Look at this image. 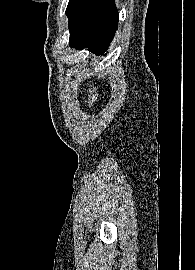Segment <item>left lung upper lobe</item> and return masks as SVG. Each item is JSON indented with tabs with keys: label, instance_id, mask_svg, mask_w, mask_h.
I'll use <instances>...</instances> for the list:
<instances>
[{
	"label": "left lung upper lobe",
	"instance_id": "obj_1",
	"mask_svg": "<svg viewBox=\"0 0 195 270\" xmlns=\"http://www.w3.org/2000/svg\"><path fill=\"white\" fill-rule=\"evenodd\" d=\"M84 0H69L67 9H66V15L69 19V24L72 22L76 14L78 13L82 3Z\"/></svg>",
	"mask_w": 195,
	"mask_h": 270
}]
</instances>
